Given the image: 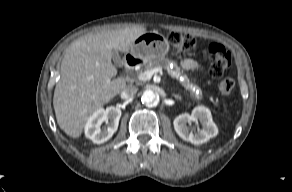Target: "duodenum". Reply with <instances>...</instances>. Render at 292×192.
<instances>
[{"mask_svg": "<svg viewBox=\"0 0 292 192\" xmlns=\"http://www.w3.org/2000/svg\"><path fill=\"white\" fill-rule=\"evenodd\" d=\"M140 63V59L134 55H127L125 58V66L134 67Z\"/></svg>", "mask_w": 292, "mask_h": 192, "instance_id": "410a0bca", "label": "duodenum"}]
</instances>
